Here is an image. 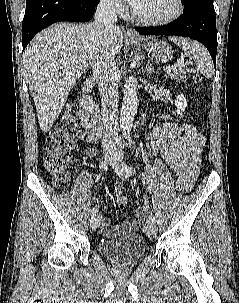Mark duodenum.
Listing matches in <instances>:
<instances>
[{
	"instance_id": "duodenum-1",
	"label": "duodenum",
	"mask_w": 239,
	"mask_h": 303,
	"mask_svg": "<svg viewBox=\"0 0 239 303\" xmlns=\"http://www.w3.org/2000/svg\"><path fill=\"white\" fill-rule=\"evenodd\" d=\"M96 82L94 76L89 77L82 85L80 98V117L82 125L89 133L95 137L101 136L103 132V119L98 113L90 96Z\"/></svg>"
}]
</instances>
